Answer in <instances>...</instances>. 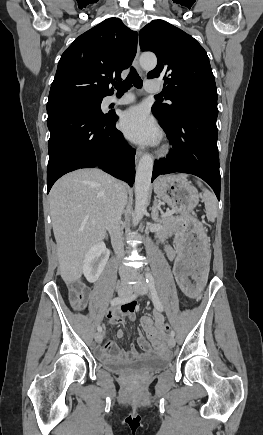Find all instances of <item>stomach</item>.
I'll list each match as a JSON object with an SVG mask.
<instances>
[{
  "label": "stomach",
  "mask_w": 263,
  "mask_h": 435,
  "mask_svg": "<svg viewBox=\"0 0 263 435\" xmlns=\"http://www.w3.org/2000/svg\"><path fill=\"white\" fill-rule=\"evenodd\" d=\"M154 191L163 201L179 209L183 224H175L174 232L177 245L182 247V260L176 264L173 275L177 287L185 299H198L202 288H207V262H209V238L206 225L201 224V216H195L194 207L198 204L199 194L191 183L178 176L159 178Z\"/></svg>",
  "instance_id": "1"
}]
</instances>
